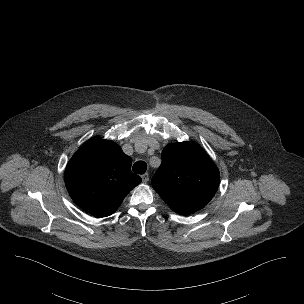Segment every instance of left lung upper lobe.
Listing matches in <instances>:
<instances>
[{
    "instance_id": "left-lung-upper-lobe-1",
    "label": "left lung upper lobe",
    "mask_w": 304,
    "mask_h": 304,
    "mask_svg": "<svg viewBox=\"0 0 304 304\" xmlns=\"http://www.w3.org/2000/svg\"><path fill=\"white\" fill-rule=\"evenodd\" d=\"M219 171L194 142L168 144L152 186L176 213L192 214L208 204L219 186Z\"/></svg>"
}]
</instances>
